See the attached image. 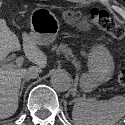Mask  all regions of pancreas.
Returning a JSON list of instances; mask_svg holds the SVG:
<instances>
[{
    "label": "pancreas",
    "mask_w": 125,
    "mask_h": 125,
    "mask_svg": "<svg viewBox=\"0 0 125 125\" xmlns=\"http://www.w3.org/2000/svg\"><path fill=\"white\" fill-rule=\"evenodd\" d=\"M52 50L55 51L57 54H64L68 59L72 60V62L76 66H80L79 62H77L76 58L74 57L72 50L66 44H60L59 46L54 45L52 47Z\"/></svg>",
    "instance_id": "1"
}]
</instances>
